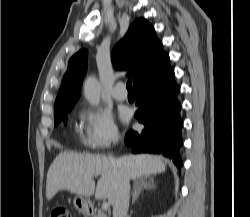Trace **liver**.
<instances>
[{"instance_id":"6515ba94","label":"liver","mask_w":250,"mask_h":217,"mask_svg":"<svg viewBox=\"0 0 250 217\" xmlns=\"http://www.w3.org/2000/svg\"><path fill=\"white\" fill-rule=\"evenodd\" d=\"M116 162L124 169L130 179L148 177L165 171L166 165L156 155H124ZM100 175L95 189L94 177ZM117 187V170L110 159L101 155L60 153L51 164L46 181V198L51 200L59 191L67 190L73 194L108 199L113 205Z\"/></svg>"}]
</instances>
